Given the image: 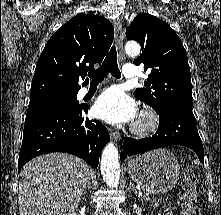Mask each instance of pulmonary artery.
<instances>
[{
  "label": "pulmonary artery",
  "instance_id": "obj_1",
  "mask_svg": "<svg viewBox=\"0 0 221 215\" xmlns=\"http://www.w3.org/2000/svg\"><path fill=\"white\" fill-rule=\"evenodd\" d=\"M122 74L125 78H134L138 75L137 68L134 65L126 64L122 68ZM88 91V87L82 88L80 91V96H84Z\"/></svg>",
  "mask_w": 221,
  "mask_h": 215
}]
</instances>
